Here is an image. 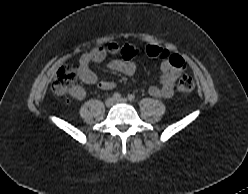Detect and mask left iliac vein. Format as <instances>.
Segmentation results:
<instances>
[{
  "instance_id": "1",
  "label": "left iliac vein",
  "mask_w": 248,
  "mask_h": 194,
  "mask_svg": "<svg viewBox=\"0 0 248 194\" xmlns=\"http://www.w3.org/2000/svg\"><path fill=\"white\" fill-rule=\"evenodd\" d=\"M116 103H127L128 100L126 98H120L118 100L115 101Z\"/></svg>"
}]
</instances>
